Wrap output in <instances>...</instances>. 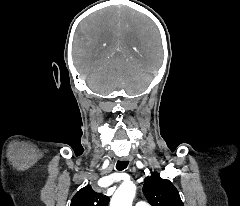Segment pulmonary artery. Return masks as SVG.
<instances>
[{"mask_svg":"<svg viewBox=\"0 0 240 206\" xmlns=\"http://www.w3.org/2000/svg\"><path fill=\"white\" fill-rule=\"evenodd\" d=\"M135 206H150L147 202H144V201H139L136 203Z\"/></svg>","mask_w":240,"mask_h":206,"instance_id":"obj_1","label":"pulmonary artery"}]
</instances>
